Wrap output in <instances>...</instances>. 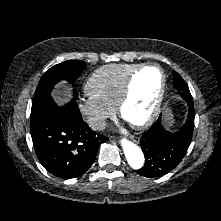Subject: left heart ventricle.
I'll return each mask as SVG.
<instances>
[{"instance_id": "left-heart-ventricle-1", "label": "left heart ventricle", "mask_w": 221, "mask_h": 221, "mask_svg": "<svg viewBox=\"0 0 221 221\" xmlns=\"http://www.w3.org/2000/svg\"><path fill=\"white\" fill-rule=\"evenodd\" d=\"M161 86V75L157 68H147L133 82L132 97L123 110L129 123H138L151 113Z\"/></svg>"}]
</instances>
